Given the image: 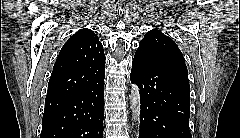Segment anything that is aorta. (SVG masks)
<instances>
[{
  "label": "aorta",
  "instance_id": "1",
  "mask_svg": "<svg viewBox=\"0 0 240 138\" xmlns=\"http://www.w3.org/2000/svg\"><path fill=\"white\" fill-rule=\"evenodd\" d=\"M131 108H132L134 119L139 121L140 93H139V89L136 85H132V88H131Z\"/></svg>",
  "mask_w": 240,
  "mask_h": 138
}]
</instances>
